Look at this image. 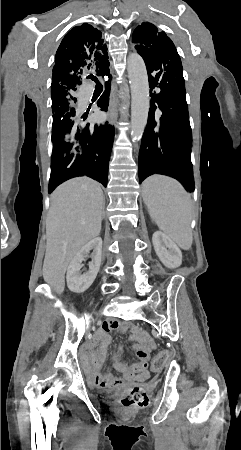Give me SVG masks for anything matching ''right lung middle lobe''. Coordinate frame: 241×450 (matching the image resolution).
<instances>
[{"instance_id": "right-lung-middle-lobe-1", "label": "right lung middle lobe", "mask_w": 241, "mask_h": 450, "mask_svg": "<svg viewBox=\"0 0 241 450\" xmlns=\"http://www.w3.org/2000/svg\"><path fill=\"white\" fill-rule=\"evenodd\" d=\"M77 99L69 96L65 99L52 102V114H53V124H52V141L55 144H66L70 145L74 142V137L72 134H61L56 131L55 123L66 115L75 116V104Z\"/></svg>"}]
</instances>
